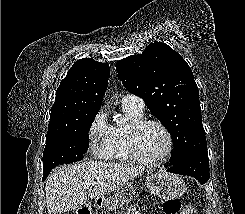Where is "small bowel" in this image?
Wrapping results in <instances>:
<instances>
[{
	"label": "small bowel",
	"mask_w": 245,
	"mask_h": 214,
	"mask_svg": "<svg viewBox=\"0 0 245 214\" xmlns=\"http://www.w3.org/2000/svg\"><path fill=\"white\" fill-rule=\"evenodd\" d=\"M127 214H140L139 213V207L138 206H131L128 209Z\"/></svg>",
	"instance_id": "small-bowel-1"
}]
</instances>
